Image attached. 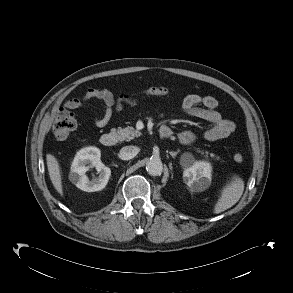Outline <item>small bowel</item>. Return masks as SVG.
Segmentation results:
<instances>
[{"mask_svg": "<svg viewBox=\"0 0 293 293\" xmlns=\"http://www.w3.org/2000/svg\"><path fill=\"white\" fill-rule=\"evenodd\" d=\"M145 98L146 94L143 93L137 96L123 94L115 97L108 89L90 88L83 95L68 99L64 105L66 108L74 110L81 108L89 100L100 101L104 110L101 116L96 117L95 125L103 128L109 123L115 111H121L126 105H136ZM181 107L185 113L199 117L210 124L203 134L206 140L215 141L227 138L235 130V124L231 120L224 119L217 111L218 101L212 96L188 94L183 98ZM178 139L184 144H190L196 139V136L191 131H183L178 134Z\"/></svg>", "mask_w": 293, "mask_h": 293, "instance_id": "c3829d8e", "label": "small bowel"}]
</instances>
